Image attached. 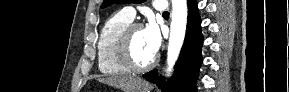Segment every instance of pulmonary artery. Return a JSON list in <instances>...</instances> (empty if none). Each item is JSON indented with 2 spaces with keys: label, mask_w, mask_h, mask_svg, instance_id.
<instances>
[{
  "label": "pulmonary artery",
  "mask_w": 289,
  "mask_h": 92,
  "mask_svg": "<svg viewBox=\"0 0 289 92\" xmlns=\"http://www.w3.org/2000/svg\"><path fill=\"white\" fill-rule=\"evenodd\" d=\"M153 7L159 12L167 11V3L165 1H154ZM122 13L131 20H133L136 15L135 9L133 7H125L122 10Z\"/></svg>",
  "instance_id": "e3ab8cb5"
}]
</instances>
